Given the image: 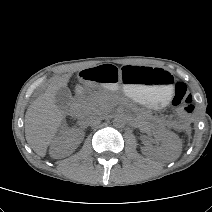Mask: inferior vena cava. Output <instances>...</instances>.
<instances>
[{
    "label": "inferior vena cava",
    "instance_id": "obj_1",
    "mask_svg": "<svg viewBox=\"0 0 212 212\" xmlns=\"http://www.w3.org/2000/svg\"><path fill=\"white\" fill-rule=\"evenodd\" d=\"M103 117L98 115L95 112L87 113L84 117V124L87 126H92L100 123L102 121Z\"/></svg>",
    "mask_w": 212,
    "mask_h": 212
}]
</instances>
